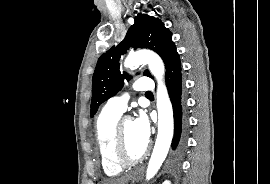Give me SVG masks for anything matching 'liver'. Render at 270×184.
<instances>
[{"mask_svg": "<svg viewBox=\"0 0 270 184\" xmlns=\"http://www.w3.org/2000/svg\"><path fill=\"white\" fill-rule=\"evenodd\" d=\"M127 180V178H124L119 180L106 181L104 184H125Z\"/></svg>", "mask_w": 270, "mask_h": 184, "instance_id": "1", "label": "liver"}]
</instances>
